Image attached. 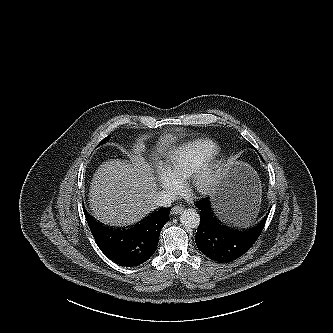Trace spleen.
Masks as SVG:
<instances>
[{
	"mask_svg": "<svg viewBox=\"0 0 333 333\" xmlns=\"http://www.w3.org/2000/svg\"><path fill=\"white\" fill-rule=\"evenodd\" d=\"M256 197L260 198L259 200H261V196H256ZM258 211H259V206L258 208L250 212L248 215L244 216L242 219H234L232 222L240 227L249 226L255 220Z\"/></svg>",
	"mask_w": 333,
	"mask_h": 333,
	"instance_id": "1",
	"label": "spleen"
}]
</instances>
